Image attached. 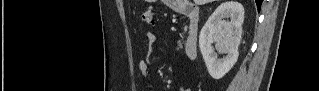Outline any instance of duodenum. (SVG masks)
Instances as JSON below:
<instances>
[{"mask_svg": "<svg viewBox=\"0 0 319 91\" xmlns=\"http://www.w3.org/2000/svg\"><path fill=\"white\" fill-rule=\"evenodd\" d=\"M183 14L189 19L188 30L184 41V53L189 60H194L198 52L199 9L192 4H187L183 9Z\"/></svg>", "mask_w": 319, "mask_h": 91, "instance_id": "410a0bca", "label": "duodenum"}]
</instances>
